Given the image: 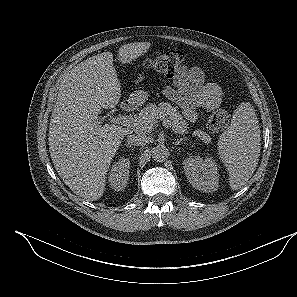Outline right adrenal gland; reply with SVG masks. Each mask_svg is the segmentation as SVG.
Here are the masks:
<instances>
[{
	"instance_id": "2a0ac1e0",
	"label": "right adrenal gland",
	"mask_w": 297,
	"mask_h": 297,
	"mask_svg": "<svg viewBox=\"0 0 297 297\" xmlns=\"http://www.w3.org/2000/svg\"><path fill=\"white\" fill-rule=\"evenodd\" d=\"M125 146H126L127 148H131V146H130V145H128V144H125Z\"/></svg>"
}]
</instances>
